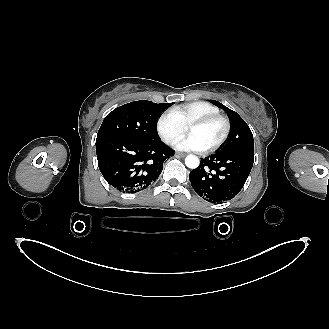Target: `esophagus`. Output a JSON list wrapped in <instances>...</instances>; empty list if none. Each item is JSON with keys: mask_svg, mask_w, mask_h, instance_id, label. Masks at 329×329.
<instances>
[{"mask_svg": "<svg viewBox=\"0 0 329 329\" xmlns=\"http://www.w3.org/2000/svg\"><path fill=\"white\" fill-rule=\"evenodd\" d=\"M176 156H177V157H185L186 154H185V153H180V152H178V153H176Z\"/></svg>", "mask_w": 329, "mask_h": 329, "instance_id": "34e87169", "label": "esophagus"}]
</instances>
